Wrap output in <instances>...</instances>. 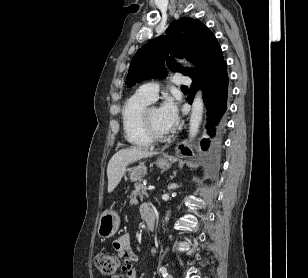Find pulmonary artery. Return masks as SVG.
<instances>
[{"instance_id": "pulmonary-artery-1", "label": "pulmonary artery", "mask_w": 308, "mask_h": 278, "mask_svg": "<svg viewBox=\"0 0 308 278\" xmlns=\"http://www.w3.org/2000/svg\"><path fill=\"white\" fill-rule=\"evenodd\" d=\"M174 84L177 86H188L191 84V79L188 76L177 75L174 77ZM159 92V85L157 83H147L142 85L137 93L148 101L153 102L156 100Z\"/></svg>"}]
</instances>
